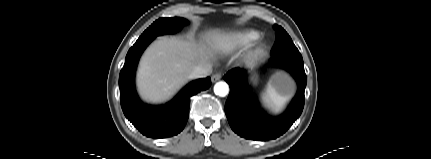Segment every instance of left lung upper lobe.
<instances>
[{"mask_svg":"<svg viewBox=\"0 0 431 159\" xmlns=\"http://www.w3.org/2000/svg\"><path fill=\"white\" fill-rule=\"evenodd\" d=\"M274 29L276 31V42L271 51V56L302 57L287 32L278 25H274Z\"/></svg>","mask_w":431,"mask_h":159,"instance_id":"5c2ea615","label":"left lung upper lobe"}]
</instances>
